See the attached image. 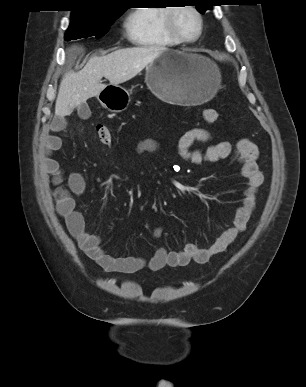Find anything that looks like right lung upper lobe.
I'll return each mask as SVG.
<instances>
[{"instance_id":"right-lung-upper-lobe-1","label":"right lung upper lobe","mask_w":306,"mask_h":387,"mask_svg":"<svg viewBox=\"0 0 306 387\" xmlns=\"http://www.w3.org/2000/svg\"><path fill=\"white\" fill-rule=\"evenodd\" d=\"M71 17H97L124 11L122 0H76Z\"/></svg>"}]
</instances>
